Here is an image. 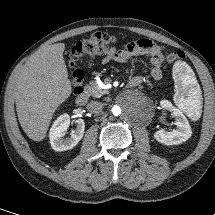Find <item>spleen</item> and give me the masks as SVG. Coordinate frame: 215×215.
Here are the masks:
<instances>
[{
    "label": "spleen",
    "instance_id": "3e777b00",
    "mask_svg": "<svg viewBox=\"0 0 215 215\" xmlns=\"http://www.w3.org/2000/svg\"><path fill=\"white\" fill-rule=\"evenodd\" d=\"M173 71L175 79V103L186 113L199 110L201 108V90L195 77L189 74L190 70L182 61L175 62Z\"/></svg>",
    "mask_w": 215,
    "mask_h": 215
}]
</instances>
